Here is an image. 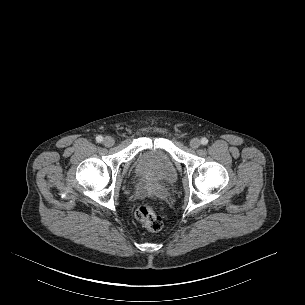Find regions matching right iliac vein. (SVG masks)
I'll return each mask as SVG.
<instances>
[{
    "label": "right iliac vein",
    "instance_id": "63e3f726",
    "mask_svg": "<svg viewBox=\"0 0 305 305\" xmlns=\"http://www.w3.org/2000/svg\"><path fill=\"white\" fill-rule=\"evenodd\" d=\"M103 143L107 147H111L114 145V139L111 136H107L104 138Z\"/></svg>",
    "mask_w": 305,
    "mask_h": 305
}]
</instances>
